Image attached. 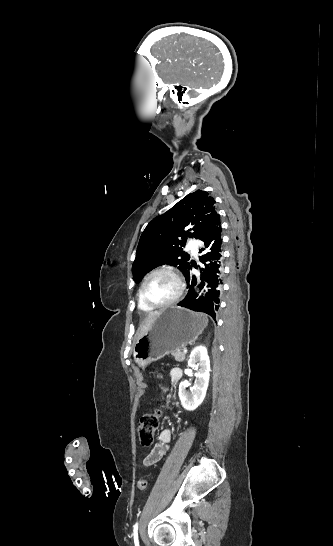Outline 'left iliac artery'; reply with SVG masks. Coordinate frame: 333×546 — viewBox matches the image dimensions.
<instances>
[{
    "instance_id": "44dca946",
    "label": "left iliac artery",
    "mask_w": 333,
    "mask_h": 546,
    "mask_svg": "<svg viewBox=\"0 0 333 546\" xmlns=\"http://www.w3.org/2000/svg\"><path fill=\"white\" fill-rule=\"evenodd\" d=\"M133 536H134V543H135V546H139V541H138V523H136L133 527Z\"/></svg>"
}]
</instances>
